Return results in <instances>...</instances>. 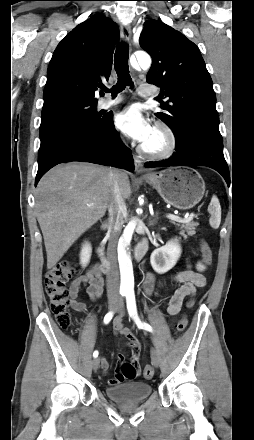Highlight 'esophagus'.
Returning <instances> with one entry per match:
<instances>
[{"mask_svg": "<svg viewBox=\"0 0 254 440\" xmlns=\"http://www.w3.org/2000/svg\"><path fill=\"white\" fill-rule=\"evenodd\" d=\"M121 37L125 42H130L131 40V28L127 24H121L120 26ZM135 171L137 174L148 175L149 172L144 168L142 160L138 157H134Z\"/></svg>", "mask_w": 254, "mask_h": 440, "instance_id": "esophagus-1", "label": "esophagus"}]
</instances>
